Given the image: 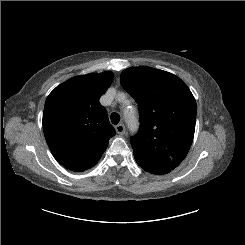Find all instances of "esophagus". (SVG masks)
I'll list each match as a JSON object with an SVG mask.
<instances>
[{
    "instance_id": "34e87169",
    "label": "esophagus",
    "mask_w": 245,
    "mask_h": 245,
    "mask_svg": "<svg viewBox=\"0 0 245 245\" xmlns=\"http://www.w3.org/2000/svg\"><path fill=\"white\" fill-rule=\"evenodd\" d=\"M116 132L120 135H123L125 133V126L123 124H118L116 127Z\"/></svg>"
}]
</instances>
